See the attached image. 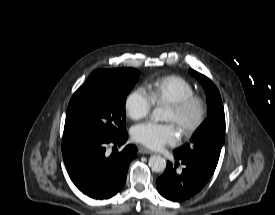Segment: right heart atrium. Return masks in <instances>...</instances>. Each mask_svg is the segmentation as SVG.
Listing matches in <instances>:
<instances>
[{"instance_id":"obj_1","label":"right heart atrium","mask_w":275,"mask_h":215,"mask_svg":"<svg viewBox=\"0 0 275 215\" xmlns=\"http://www.w3.org/2000/svg\"><path fill=\"white\" fill-rule=\"evenodd\" d=\"M153 104L149 94L141 87L133 89L124 102L126 113L133 120H140L148 116Z\"/></svg>"}]
</instances>
